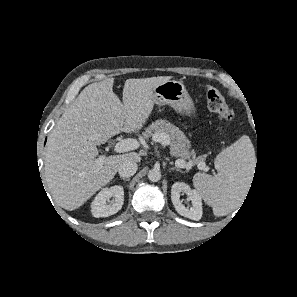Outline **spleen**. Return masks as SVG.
Here are the masks:
<instances>
[{
  "label": "spleen",
  "instance_id": "1",
  "mask_svg": "<svg viewBox=\"0 0 297 297\" xmlns=\"http://www.w3.org/2000/svg\"><path fill=\"white\" fill-rule=\"evenodd\" d=\"M254 147L242 136L215 159L217 174L197 173L194 185L215 216H223L236 208L238 199L250 184L255 167Z\"/></svg>",
  "mask_w": 297,
  "mask_h": 297
}]
</instances>
